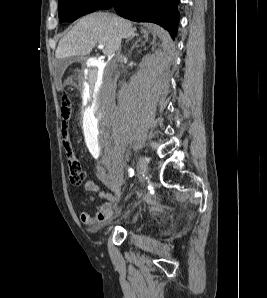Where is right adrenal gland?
<instances>
[{
    "mask_svg": "<svg viewBox=\"0 0 267 298\" xmlns=\"http://www.w3.org/2000/svg\"><path fill=\"white\" fill-rule=\"evenodd\" d=\"M135 30H136V29H135ZM134 32H135V31H134ZM135 36L137 37V36H139V34H138V33H133L132 36H131L129 39L126 40V42H128L129 40H131V39L134 38Z\"/></svg>",
    "mask_w": 267,
    "mask_h": 298,
    "instance_id": "obj_1",
    "label": "right adrenal gland"
}]
</instances>
